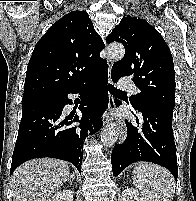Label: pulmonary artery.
Masks as SVG:
<instances>
[{
  "label": "pulmonary artery",
  "mask_w": 196,
  "mask_h": 201,
  "mask_svg": "<svg viewBox=\"0 0 196 201\" xmlns=\"http://www.w3.org/2000/svg\"><path fill=\"white\" fill-rule=\"evenodd\" d=\"M118 86L121 89H126L131 91L134 94H137L139 92V89L133 84V82L129 79H121L118 83Z\"/></svg>",
  "instance_id": "e3ab8cb5"
}]
</instances>
